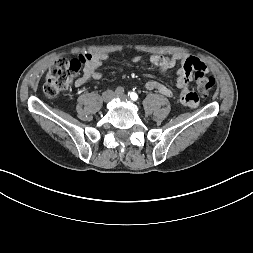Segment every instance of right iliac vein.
Segmentation results:
<instances>
[{
    "label": "right iliac vein",
    "instance_id": "obj_1",
    "mask_svg": "<svg viewBox=\"0 0 253 253\" xmlns=\"http://www.w3.org/2000/svg\"><path fill=\"white\" fill-rule=\"evenodd\" d=\"M114 97V92L112 90H107L102 94V100L104 102H109L113 99Z\"/></svg>",
    "mask_w": 253,
    "mask_h": 253
}]
</instances>
